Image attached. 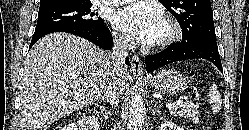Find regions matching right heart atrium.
<instances>
[{"instance_id": "right-heart-atrium-1", "label": "right heart atrium", "mask_w": 249, "mask_h": 130, "mask_svg": "<svg viewBox=\"0 0 249 130\" xmlns=\"http://www.w3.org/2000/svg\"><path fill=\"white\" fill-rule=\"evenodd\" d=\"M114 37L116 39V41L119 43V44H122V45H128L129 44V38L122 34V33H118V32H114Z\"/></svg>"}]
</instances>
